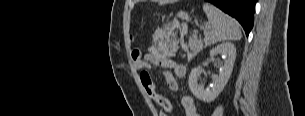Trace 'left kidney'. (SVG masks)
<instances>
[{"instance_id":"1","label":"left kidney","mask_w":305,"mask_h":116,"mask_svg":"<svg viewBox=\"0 0 305 116\" xmlns=\"http://www.w3.org/2000/svg\"><path fill=\"white\" fill-rule=\"evenodd\" d=\"M222 55L225 58L224 65L219 71L218 75H212L213 84L211 89H204L203 86L198 84V78L201 74V68L196 67L192 69L189 75V88L192 94L203 102L210 103L218 97L225 85L227 84L234 66L236 59V48L232 43H222L210 51V59L205 62L213 61L216 55Z\"/></svg>"}]
</instances>
